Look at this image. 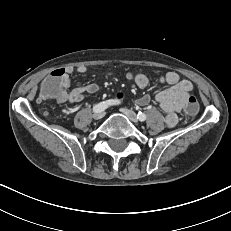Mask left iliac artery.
I'll return each mask as SVG.
<instances>
[{
	"label": "left iliac artery",
	"instance_id": "1",
	"mask_svg": "<svg viewBox=\"0 0 231 231\" xmlns=\"http://www.w3.org/2000/svg\"><path fill=\"white\" fill-rule=\"evenodd\" d=\"M138 119L140 121H145L146 120V115L142 112H138V115H137Z\"/></svg>",
	"mask_w": 231,
	"mask_h": 231
}]
</instances>
